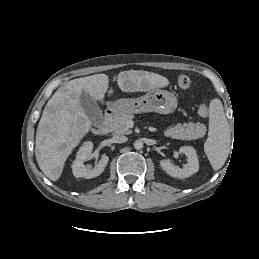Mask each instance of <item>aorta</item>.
Instances as JSON below:
<instances>
[{
    "mask_svg": "<svg viewBox=\"0 0 259 259\" xmlns=\"http://www.w3.org/2000/svg\"><path fill=\"white\" fill-rule=\"evenodd\" d=\"M134 148H135L136 150L142 149V148H143V142L140 141V140L135 141V142H134Z\"/></svg>",
    "mask_w": 259,
    "mask_h": 259,
    "instance_id": "obj_1",
    "label": "aorta"
}]
</instances>
